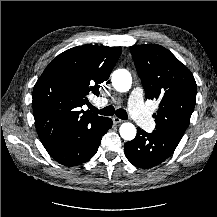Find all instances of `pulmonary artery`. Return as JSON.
<instances>
[{
  "label": "pulmonary artery",
  "mask_w": 217,
  "mask_h": 217,
  "mask_svg": "<svg viewBox=\"0 0 217 217\" xmlns=\"http://www.w3.org/2000/svg\"><path fill=\"white\" fill-rule=\"evenodd\" d=\"M107 102V100H105ZM129 111L132 118L144 129L148 130L153 125V120L148 114L147 107L143 102V92L135 89L129 97Z\"/></svg>",
  "instance_id": "pulmonary-artery-1"
}]
</instances>
